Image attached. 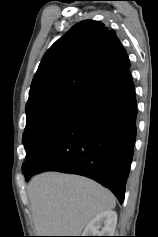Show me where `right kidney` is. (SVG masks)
Here are the masks:
<instances>
[{"mask_svg": "<svg viewBox=\"0 0 158 237\" xmlns=\"http://www.w3.org/2000/svg\"><path fill=\"white\" fill-rule=\"evenodd\" d=\"M116 224V212L113 210L104 211L89 222L82 236H114Z\"/></svg>", "mask_w": 158, "mask_h": 237, "instance_id": "1", "label": "right kidney"}]
</instances>
